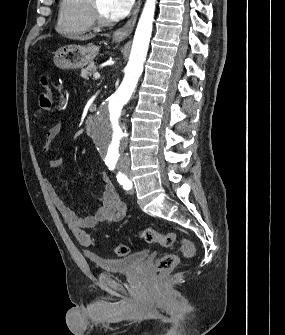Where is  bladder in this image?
<instances>
[{
  "instance_id": "1",
  "label": "bladder",
  "mask_w": 285,
  "mask_h": 335,
  "mask_svg": "<svg viewBox=\"0 0 285 335\" xmlns=\"http://www.w3.org/2000/svg\"><path fill=\"white\" fill-rule=\"evenodd\" d=\"M148 250L141 249L126 256L93 258L92 264L97 265L107 273H134L140 265L145 264Z\"/></svg>"
}]
</instances>
